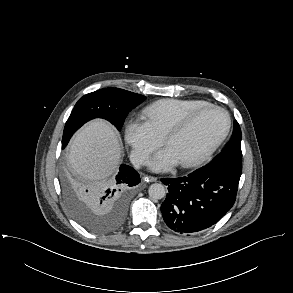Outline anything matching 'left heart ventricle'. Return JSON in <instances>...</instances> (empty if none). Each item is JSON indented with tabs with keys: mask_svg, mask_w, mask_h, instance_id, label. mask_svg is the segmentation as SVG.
<instances>
[{
	"mask_svg": "<svg viewBox=\"0 0 293 293\" xmlns=\"http://www.w3.org/2000/svg\"><path fill=\"white\" fill-rule=\"evenodd\" d=\"M226 126L225 115L209 109L197 116L191 125L168 143L169 149L179 163L188 161L202 153Z\"/></svg>",
	"mask_w": 293,
	"mask_h": 293,
	"instance_id": "b2bd125f",
	"label": "left heart ventricle"
}]
</instances>
